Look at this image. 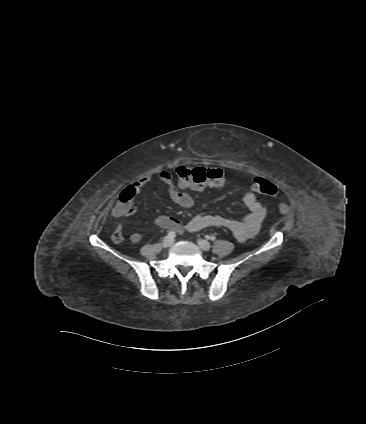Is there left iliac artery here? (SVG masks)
Listing matches in <instances>:
<instances>
[{"label": "left iliac artery", "mask_w": 366, "mask_h": 424, "mask_svg": "<svg viewBox=\"0 0 366 424\" xmlns=\"http://www.w3.org/2000/svg\"><path fill=\"white\" fill-rule=\"evenodd\" d=\"M212 241H214L215 239H216V237L215 236H211V237H209Z\"/></svg>", "instance_id": "44dca946"}]
</instances>
